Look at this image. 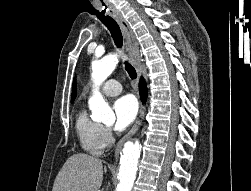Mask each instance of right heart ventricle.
Instances as JSON below:
<instances>
[{
  "label": "right heart ventricle",
  "instance_id": "e07e8e85",
  "mask_svg": "<svg viewBox=\"0 0 251 191\" xmlns=\"http://www.w3.org/2000/svg\"><path fill=\"white\" fill-rule=\"evenodd\" d=\"M76 134L83 151L99 155L104 149L101 131L102 125L89 119L85 110L80 109L76 115Z\"/></svg>",
  "mask_w": 251,
  "mask_h": 191
}]
</instances>
